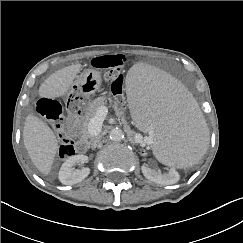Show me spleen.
Returning <instances> with one entry per match:
<instances>
[{"mask_svg": "<svg viewBox=\"0 0 243 243\" xmlns=\"http://www.w3.org/2000/svg\"><path fill=\"white\" fill-rule=\"evenodd\" d=\"M130 113L160 163L172 170L194 168L204 157L209 131L190 92L148 65L125 80Z\"/></svg>", "mask_w": 243, "mask_h": 243, "instance_id": "3e777b00", "label": "spleen"}]
</instances>
